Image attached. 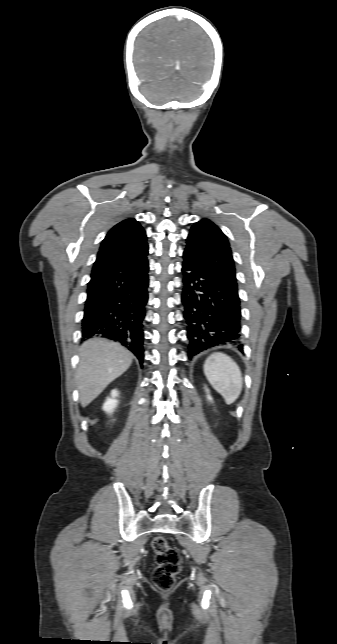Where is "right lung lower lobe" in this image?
Here are the masks:
<instances>
[{
	"label": "right lung lower lobe",
	"mask_w": 337,
	"mask_h": 644,
	"mask_svg": "<svg viewBox=\"0 0 337 644\" xmlns=\"http://www.w3.org/2000/svg\"><path fill=\"white\" fill-rule=\"evenodd\" d=\"M148 261L126 263L93 276L88 283L82 320L83 340L101 336L119 341L143 363Z\"/></svg>",
	"instance_id": "obj_1"
}]
</instances>
